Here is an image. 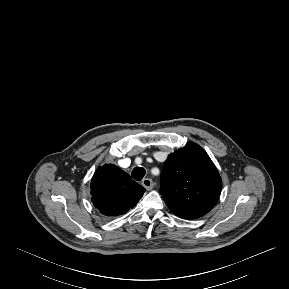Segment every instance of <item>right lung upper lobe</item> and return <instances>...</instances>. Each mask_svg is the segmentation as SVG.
I'll return each instance as SVG.
<instances>
[{
  "label": "right lung upper lobe",
  "instance_id": "obj_1",
  "mask_svg": "<svg viewBox=\"0 0 289 289\" xmlns=\"http://www.w3.org/2000/svg\"><path fill=\"white\" fill-rule=\"evenodd\" d=\"M90 188L92 202L106 216L126 213L137 204L145 192V188L114 164L98 167Z\"/></svg>",
  "mask_w": 289,
  "mask_h": 289
}]
</instances>
